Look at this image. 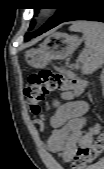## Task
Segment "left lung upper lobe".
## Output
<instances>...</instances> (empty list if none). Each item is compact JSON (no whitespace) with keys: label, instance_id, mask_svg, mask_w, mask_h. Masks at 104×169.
I'll return each instance as SVG.
<instances>
[{"label":"left lung upper lobe","instance_id":"left-lung-upper-lobe-1","mask_svg":"<svg viewBox=\"0 0 104 169\" xmlns=\"http://www.w3.org/2000/svg\"><path fill=\"white\" fill-rule=\"evenodd\" d=\"M67 5L63 8H58V11L54 16H52L36 33H38L40 30H50L54 28L55 26L62 23L75 9L78 4V0H67ZM38 9H35V12L37 13ZM34 25V22H32L30 29H32ZM36 33L32 34H26L25 39H29L33 37Z\"/></svg>","mask_w":104,"mask_h":169}]
</instances>
